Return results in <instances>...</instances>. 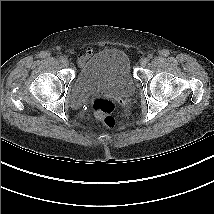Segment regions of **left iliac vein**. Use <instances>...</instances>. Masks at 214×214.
Wrapping results in <instances>:
<instances>
[{"label":"left iliac vein","instance_id":"left-iliac-vein-1","mask_svg":"<svg viewBox=\"0 0 214 214\" xmlns=\"http://www.w3.org/2000/svg\"><path fill=\"white\" fill-rule=\"evenodd\" d=\"M148 63V59L147 58H141L140 59V65L145 66Z\"/></svg>","mask_w":214,"mask_h":214}]
</instances>
